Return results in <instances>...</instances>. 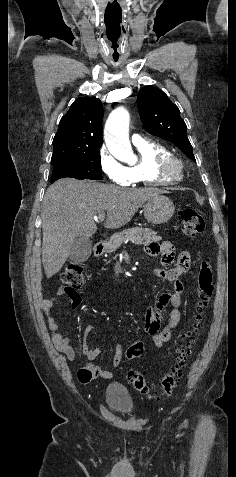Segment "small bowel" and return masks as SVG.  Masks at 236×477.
<instances>
[{
    "mask_svg": "<svg viewBox=\"0 0 236 477\" xmlns=\"http://www.w3.org/2000/svg\"><path fill=\"white\" fill-rule=\"evenodd\" d=\"M145 250L149 256H160L163 268L158 269L157 274L161 279L173 284L171 292L161 295L156 309H147L143 323V328L145 332L152 337L154 346L156 348H161L170 340L172 333L181 321L180 306L182 303L184 285L179 278L190 267L191 258L187 251H182L176 256L175 248L169 241H164L161 244L149 243L146 245ZM184 255L188 257V261L183 260ZM172 265L174 266L171 267ZM63 295L69 297L70 305L73 309L80 304L81 299L79 295L67 294L64 289L60 288L57 291L55 298H49L42 301L41 309L47 318L53 344L57 350L63 353L69 360H74L76 358V352L70 345L69 340L59 332L58 322L53 315L56 298ZM168 305L172 307V310L168 314L165 326L161 328L160 316ZM94 330L95 327L93 325H87L83 331L82 352L87 363L77 374L78 380L82 384H88L97 378L109 380L113 377L111 371L102 369L94 363V360L101 354V349L99 347H91L88 343V339ZM123 352L124 349L121 345H115L112 358V364L114 367L120 366Z\"/></svg>",
    "mask_w": 236,
    "mask_h": 477,
    "instance_id": "c3829d8e",
    "label": "small bowel"
}]
</instances>
